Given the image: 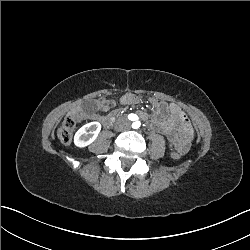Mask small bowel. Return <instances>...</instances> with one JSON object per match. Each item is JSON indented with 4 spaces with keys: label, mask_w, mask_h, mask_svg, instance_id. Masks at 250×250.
<instances>
[{
    "label": "small bowel",
    "mask_w": 250,
    "mask_h": 250,
    "mask_svg": "<svg viewBox=\"0 0 250 250\" xmlns=\"http://www.w3.org/2000/svg\"><path fill=\"white\" fill-rule=\"evenodd\" d=\"M139 102V98L133 94H125L120 98L121 105H133ZM153 116L149 120V126L154 131L160 132L170 139L181 153L188 150L190 142L193 139V128L186 115L175 104H167L160 100H151ZM95 110L107 111L114 107V103L110 100L99 99L93 103ZM140 116L146 118L145 113H140ZM73 117L78 120L91 118L98 119L96 113H87L83 110H76Z\"/></svg>",
    "instance_id": "small-bowel-1"
}]
</instances>
